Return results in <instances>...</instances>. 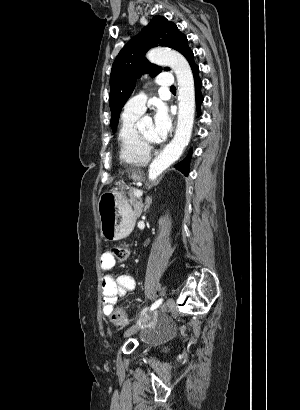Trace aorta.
<instances>
[{"instance_id": "aorta-1", "label": "aorta", "mask_w": 300, "mask_h": 410, "mask_svg": "<svg viewBox=\"0 0 300 410\" xmlns=\"http://www.w3.org/2000/svg\"><path fill=\"white\" fill-rule=\"evenodd\" d=\"M150 62L169 66L178 82V122L174 138L149 166L148 178L154 181L165 169L177 161L188 145L195 115L194 79L188 61L179 52L154 48L147 53Z\"/></svg>"}]
</instances>
